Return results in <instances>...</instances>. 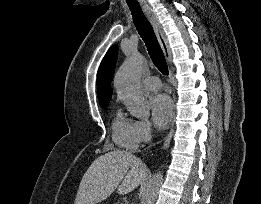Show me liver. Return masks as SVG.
Returning <instances> with one entry per match:
<instances>
[{"label":"liver","instance_id":"liver-1","mask_svg":"<svg viewBox=\"0 0 261 204\" xmlns=\"http://www.w3.org/2000/svg\"><path fill=\"white\" fill-rule=\"evenodd\" d=\"M147 168L141 159L127 151H110L96 158L82 177L74 204H96L115 189L127 194L142 184Z\"/></svg>","mask_w":261,"mask_h":204}]
</instances>
